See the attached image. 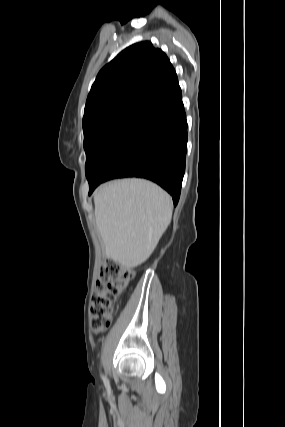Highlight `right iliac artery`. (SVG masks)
Instances as JSON below:
<instances>
[{"label": "right iliac artery", "instance_id": "obj_1", "mask_svg": "<svg viewBox=\"0 0 285 427\" xmlns=\"http://www.w3.org/2000/svg\"><path fill=\"white\" fill-rule=\"evenodd\" d=\"M102 378H103V380H104L105 384H106V385H108V381H107V379H106L105 377H102Z\"/></svg>", "mask_w": 285, "mask_h": 427}]
</instances>
